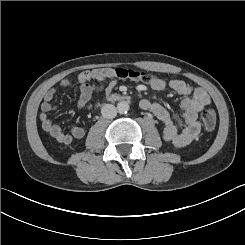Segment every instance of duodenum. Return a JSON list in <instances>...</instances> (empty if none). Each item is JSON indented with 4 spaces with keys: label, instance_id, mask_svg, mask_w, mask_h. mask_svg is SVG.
Masks as SVG:
<instances>
[{
    "label": "duodenum",
    "instance_id": "obj_1",
    "mask_svg": "<svg viewBox=\"0 0 245 245\" xmlns=\"http://www.w3.org/2000/svg\"><path fill=\"white\" fill-rule=\"evenodd\" d=\"M120 98H121L120 95H112V96H111V99H120Z\"/></svg>",
    "mask_w": 245,
    "mask_h": 245
}]
</instances>
